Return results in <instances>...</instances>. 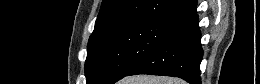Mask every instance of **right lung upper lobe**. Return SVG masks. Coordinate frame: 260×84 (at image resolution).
<instances>
[{
    "label": "right lung upper lobe",
    "mask_w": 260,
    "mask_h": 84,
    "mask_svg": "<svg viewBox=\"0 0 260 84\" xmlns=\"http://www.w3.org/2000/svg\"><path fill=\"white\" fill-rule=\"evenodd\" d=\"M196 0H103L89 43L142 22L177 25L196 12Z\"/></svg>",
    "instance_id": "1"
}]
</instances>
